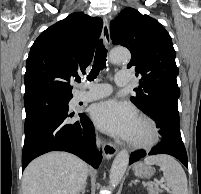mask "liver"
Wrapping results in <instances>:
<instances>
[{
	"label": "liver",
	"mask_w": 201,
	"mask_h": 194,
	"mask_svg": "<svg viewBox=\"0 0 201 194\" xmlns=\"http://www.w3.org/2000/svg\"><path fill=\"white\" fill-rule=\"evenodd\" d=\"M89 168L66 152H50L33 160L22 178L23 194H79Z\"/></svg>",
	"instance_id": "obj_1"
}]
</instances>
